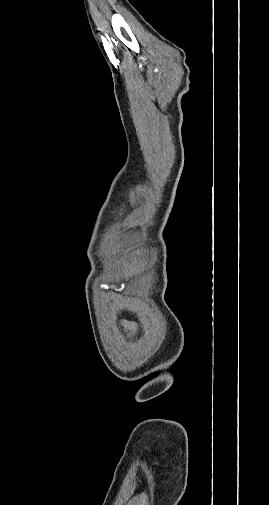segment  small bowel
Masks as SVG:
<instances>
[{
    "mask_svg": "<svg viewBox=\"0 0 269 505\" xmlns=\"http://www.w3.org/2000/svg\"><path fill=\"white\" fill-rule=\"evenodd\" d=\"M127 327H128V329H129V330H131V331H133V330L135 329V327H134V326H131V325H128Z\"/></svg>",
    "mask_w": 269,
    "mask_h": 505,
    "instance_id": "c3829d8e",
    "label": "small bowel"
}]
</instances>
